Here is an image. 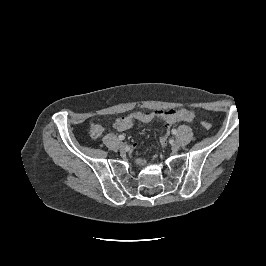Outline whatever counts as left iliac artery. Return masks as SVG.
Returning a JSON list of instances; mask_svg holds the SVG:
<instances>
[{
	"label": "left iliac artery",
	"instance_id": "44dca946",
	"mask_svg": "<svg viewBox=\"0 0 266 266\" xmlns=\"http://www.w3.org/2000/svg\"><path fill=\"white\" fill-rule=\"evenodd\" d=\"M172 134L176 135L177 134V130L176 129H173L172 130Z\"/></svg>",
	"mask_w": 266,
	"mask_h": 266
}]
</instances>
